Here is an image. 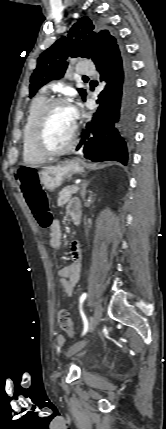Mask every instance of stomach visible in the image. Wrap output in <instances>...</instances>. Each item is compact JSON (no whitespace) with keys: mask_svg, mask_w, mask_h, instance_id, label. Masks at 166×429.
I'll list each match as a JSON object with an SVG mask.
<instances>
[{"mask_svg":"<svg viewBox=\"0 0 166 429\" xmlns=\"http://www.w3.org/2000/svg\"><path fill=\"white\" fill-rule=\"evenodd\" d=\"M85 171V163L74 159L57 166L44 167L38 172V178L43 188L52 192L73 174H81Z\"/></svg>","mask_w":166,"mask_h":429,"instance_id":"1","label":"stomach"}]
</instances>
